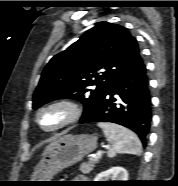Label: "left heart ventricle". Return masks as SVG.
Segmentation results:
<instances>
[{
	"label": "left heart ventricle",
	"mask_w": 178,
	"mask_h": 186,
	"mask_svg": "<svg viewBox=\"0 0 178 186\" xmlns=\"http://www.w3.org/2000/svg\"><path fill=\"white\" fill-rule=\"evenodd\" d=\"M65 115V111L62 108H52L42 112L39 121L43 127L52 128L61 123Z\"/></svg>",
	"instance_id": "b2bd125f"
}]
</instances>
